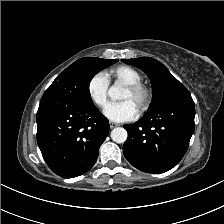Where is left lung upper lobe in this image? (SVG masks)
I'll return each mask as SVG.
<instances>
[{
  "instance_id": "1",
  "label": "left lung upper lobe",
  "mask_w": 224,
  "mask_h": 224,
  "mask_svg": "<svg viewBox=\"0 0 224 224\" xmlns=\"http://www.w3.org/2000/svg\"><path fill=\"white\" fill-rule=\"evenodd\" d=\"M142 69L152 83L153 98L146 114L155 113L172 102L191 97L189 91L159 61L150 57L123 59Z\"/></svg>"
}]
</instances>
